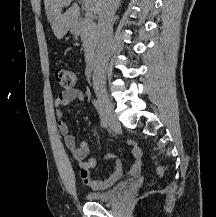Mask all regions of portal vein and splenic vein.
<instances>
[{
  "label": "portal vein and splenic vein",
  "mask_w": 216,
  "mask_h": 217,
  "mask_svg": "<svg viewBox=\"0 0 216 217\" xmlns=\"http://www.w3.org/2000/svg\"><path fill=\"white\" fill-rule=\"evenodd\" d=\"M71 1L72 0H69V3H71ZM85 18L88 21H92L94 19V13L91 11H86Z\"/></svg>",
  "instance_id": "18ae733b"
}]
</instances>
